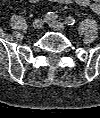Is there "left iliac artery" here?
<instances>
[{"instance_id":"44dca946","label":"left iliac artery","mask_w":100,"mask_h":118,"mask_svg":"<svg viewBox=\"0 0 100 118\" xmlns=\"http://www.w3.org/2000/svg\"><path fill=\"white\" fill-rule=\"evenodd\" d=\"M65 23L69 26H73L75 24V19L71 16L67 17Z\"/></svg>"}]
</instances>
